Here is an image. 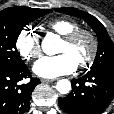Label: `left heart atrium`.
<instances>
[{"label": "left heart atrium", "mask_w": 114, "mask_h": 114, "mask_svg": "<svg viewBox=\"0 0 114 114\" xmlns=\"http://www.w3.org/2000/svg\"><path fill=\"white\" fill-rule=\"evenodd\" d=\"M77 62L69 53H61L56 56H44L33 65V71L42 78H55L71 74L77 69Z\"/></svg>", "instance_id": "left-heart-atrium-1"}]
</instances>
